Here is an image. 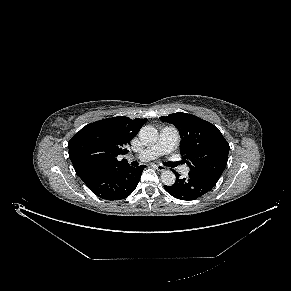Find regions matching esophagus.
I'll return each instance as SVG.
<instances>
[{
  "label": "esophagus",
  "instance_id": "1",
  "mask_svg": "<svg viewBox=\"0 0 291 291\" xmlns=\"http://www.w3.org/2000/svg\"><path fill=\"white\" fill-rule=\"evenodd\" d=\"M156 169H157L158 171L162 172V171H165V170H166V167L163 166V165H156Z\"/></svg>",
  "mask_w": 291,
  "mask_h": 291
}]
</instances>
